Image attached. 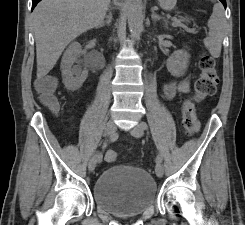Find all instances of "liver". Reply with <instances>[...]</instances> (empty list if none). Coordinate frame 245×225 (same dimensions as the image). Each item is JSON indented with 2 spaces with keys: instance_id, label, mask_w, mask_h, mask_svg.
Returning <instances> with one entry per match:
<instances>
[{
  "instance_id": "1",
  "label": "liver",
  "mask_w": 245,
  "mask_h": 225,
  "mask_svg": "<svg viewBox=\"0 0 245 225\" xmlns=\"http://www.w3.org/2000/svg\"><path fill=\"white\" fill-rule=\"evenodd\" d=\"M110 0H42L34 9L37 79L53 69L66 46L104 19Z\"/></svg>"
}]
</instances>
